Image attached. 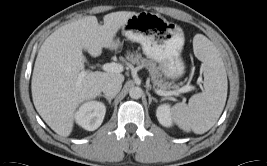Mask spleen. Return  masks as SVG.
<instances>
[{"label": "spleen", "mask_w": 267, "mask_h": 166, "mask_svg": "<svg viewBox=\"0 0 267 166\" xmlns=\"http://www.w3.org/2000/svg\"><path fill=\"white\" fill-rule=\"evenodd\" d=\"M194 53L203 62L204 90L193 95L189 103L172 108L173 119L182 130L203 134L220 117L227 98V75L223 60L214 44L203 35L193 40Z\"/></svg>", "instance_id": "1"}]
</instances>
